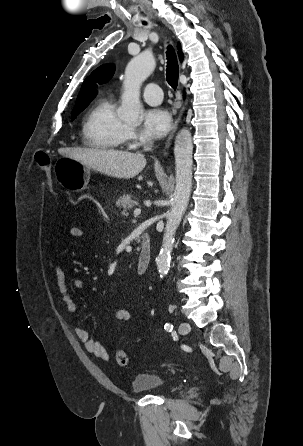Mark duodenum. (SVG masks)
I'll return each mask as SVG.
<instances>
[{
	"label": "duodenum",
	"instance_id": "410a0bca",
	"mask_svg": "<svg viewBox=\"0 0 303 446\" xmlns=\"http://www.w3.org/2000/svg\"><path fill=\"white\" fill-rule=\"evenodd\" d=\"M152 258V246L148 235H144L141 239L140 251L137 261V272L139 274L145 273L151 263Z\"/></svg>",
	"mask_w": 303,
	"mask_h": 446
}]
</instances>
